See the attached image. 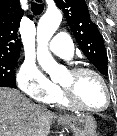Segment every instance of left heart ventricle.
Instances as JSON below:
<instances>
[{"label": "left heart ventricle", "instance_id": "obj_1", "mask_svg": "<svg viewBox=\"0 0 117 136\" xmlns=\"http://www.w3.org/2000/svg\"><path fill=\"white\" fill-rule=\"evenodd\" d=\"M60 84L72 89L75 98L87 107L98 109L104 107L106 103L104 87L92 74L73 75L68 71Z\"/></svg>", "mask_w": 117, "mask_h": 136}]
</instances>
